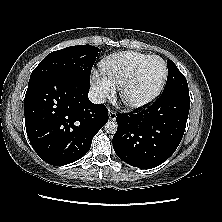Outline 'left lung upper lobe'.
Masks as SVG:
<instances>
[{
  "mask_svg": "<svg viewBox=\"0 0 222 222\" xmlns=\"http://www.w3.org/2000/svg\"><path fill=\"white\" fill-rule=\"evenodd\" d=\"M167 67L168 77L163 92L175 89L188 90V84L185 76L179 71V69L171 60H167Z\"/></svg>",
  "mask_w": 222,
  "mask_h": 222,
  "instance_id": "left-lung-upper-lobe-1",
  "label": "left lung upper lobe"
}]
</instances>
